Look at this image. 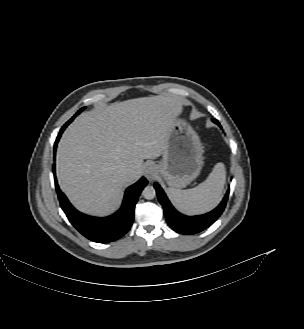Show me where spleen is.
<instances>
[{"instance_id": "obj_1", "label": "spleen", "mask_w": 304, "mask_h": 329, "mask_svg": "<svg viewBox=\"0 0 304 329\" xmlns=\"http://www.w3.org/2000/svg\"><path fill=\"white\" fill-rule=\"evenodd\" d=\"M225 180L224 164L217 163L204 182L187 190L168 188V196L182 213L188 215L205 213L213 209L221 200Z\"/></svg>"}]
</instances>
